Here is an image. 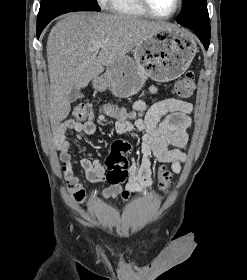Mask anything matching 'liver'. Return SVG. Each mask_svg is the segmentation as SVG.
I'll list each match as a JSON object with an SVG mask.
<instances>
[{"mask_svg":"<svg viewBox=\"0 0 247 280\" xmlns=\"http://www.w3.org/2000/svg\"><path fill=\"white\" fill-rule=\"evenodd\" d=\"M168 28L176 26L105 13H70L58 21L50 31L46 49L52 129L69 115V96L74 88L87 87L104 71V66L125 56L157 31ZM97 44L102 45L100 50H94Z\"/></svg>","mask_w":247,"mask_h":280,"instance_id":"1","label":"liver"}]
</instances>
